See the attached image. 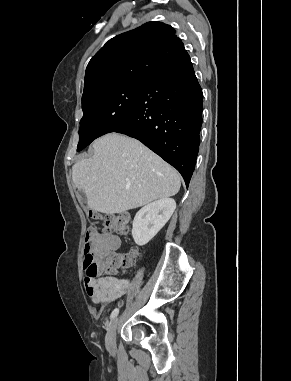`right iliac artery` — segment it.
<instances>
[{"instance_id":"right-iliac-artery-1","label":"right iliac artery","mask_w":291,"mask_h":381,"mask_svg":"<svg viewBox=\"0 0 291 381\" xmlns=\"http://www.w3.org/2000/svg\"><path fill=\"white\" fill-rule=\"evenodd\" d=\"M119 313V309L115 308L111 313V319H114Z\"/></svg>"}]
</instances>
